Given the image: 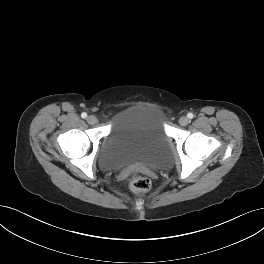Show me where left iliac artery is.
Here are the masks:
<instances>
[{
  "label": "left iliac artery",
  "mask_w": 264,
  "mask_h": 264,
  "mask_svg": "<svg viewBox=\"0 0 264 264\" xmlns=\"http://www.w3.org/2000/svg\"><path fill=\"white\" fill-rule=\"evenodd\" d=\"M187 117H188L189 119H192V118L194 117V115H193L192 113H188Z\"/></svg>",
  "instance_id": "obj_1"
}]
</instances>
